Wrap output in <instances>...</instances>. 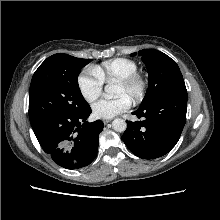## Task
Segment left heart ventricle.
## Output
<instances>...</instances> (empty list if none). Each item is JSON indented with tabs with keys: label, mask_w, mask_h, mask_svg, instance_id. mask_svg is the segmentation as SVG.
Wrapping results in <instances>:
<instances>
[{
	"label": "left heart ventricle",
	"mask_w": 220,
	"mask_h": 220,
	"mask_svg": "<svg viewBox=\"0 0 220 220\" xmlns=\"http://www.w3.org/2000/svg\"><path fill=\"white\" fill-rule=\"evenodd\" d=\"M133 94V90L132 89H126L120 85H116V91H115V95L120 96V95H125L127 96L129 99H131V96Z\"/></svg>",
	"instance_id": "obj_1"
}]
</instances>
